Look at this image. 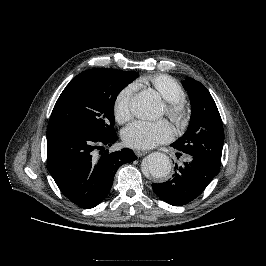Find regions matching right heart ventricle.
<instances>
[{
  "label": "right heart ventricle",
  "mask_w": 266,
  "mask_h": 266,
  "mask_svg": "<svg viewBox=\"0 0 266 266\" xmlns=\"http://www.w3.org/2000/svg\"><path fill=\"white\" fill-rule=\"evenodd\" d=\"M139 84L151 85L166 101H180L185 98V90L173 77L166 74H154L146 76Z\"/></svg>",
  "instance_id": "1"
}]
</instances>
